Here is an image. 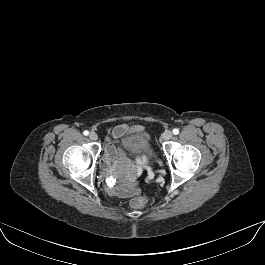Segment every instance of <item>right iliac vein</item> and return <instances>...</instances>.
<instances>
[{"label":"right iliac vein","mask_w":265,"mask_h":265,"mask_svg":"<svg viewBox=\"0 0 265 265\" xmlns=\"http://www.w3.org/2000/svg\"><path fill=\"white\" fill-rule=\"evenodd\" d=\"M89 138L93 141H96L98 139V135L94 132L90 133Z\"/></svg>","instance_id":"63e3f726"}]
</instances>
